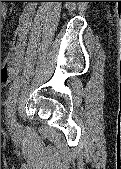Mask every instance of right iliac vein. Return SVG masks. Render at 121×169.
Here are the masks:
<instances>
[{
    "mask_svg": "<svg viewBox=\"0 0 121 169\" xmlns=\"http://www.w3.org/2000/svg\"><path fill=\"white\" fill-rule=\"evenodd\" d=\"M7 117H8V125H9L10 129L15 130L18 127L15 106H13L12 111H10L8 113Z\"/></svg>",
    "mask_w": 121,
    "mask_h": 169,
    "instance_id": "63e3f726",
    "label": "right iliac vein"
}]
</instances>
